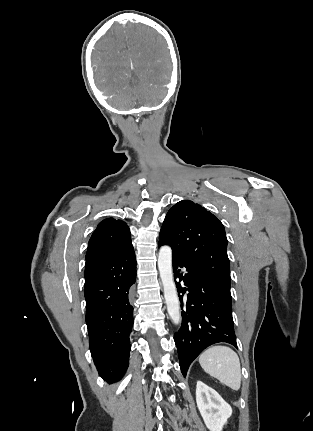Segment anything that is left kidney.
Masks as SVG:
<instances>
[{
  "label": "left kidney",
  "instance_id": "obj_1",
  "mask_svg": "<svg viewBox=\"0 0 313 431\" xmlns=\"http://www.w3.org/2000/svg\"><path fill=\"white\" fill-rule=\"evenodd\" d=\"M196 403L210 431H222L232 415L231 406L212 388L201 381L196 386Z\"/></svg>",
  "mask_w": 313,
  "mask_h": 431
}]
</instances>
